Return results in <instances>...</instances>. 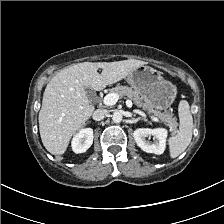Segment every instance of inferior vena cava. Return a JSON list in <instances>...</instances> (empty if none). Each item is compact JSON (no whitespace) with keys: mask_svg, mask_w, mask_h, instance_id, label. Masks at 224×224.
I'll return each instance as SVG.
<instances>
[{"mask_svg":"<svg viewBox=\"0 0 224 224\" xmlns=\"http://www.w3.org/2000/svg\"><path fill=\"white\" fill-rule=\"evenodd\" d=\"M108 114V111L106 109H97L93 113V119L95 121H101L103 120Z\"/></svg>","mask_w":224,"mask_h":224,"instance_id":"1","label":"inferior vena cava"}]
</instances>
